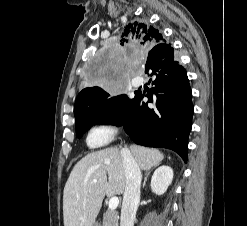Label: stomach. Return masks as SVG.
I'll list each match as a JSON object with an SVG mask.
<instances>
[{
  "mask_svg": "<svg viewBox=\"0 0 247 226\" xmlns=\"http://www.w3.org/2000/svg\"><path fill=\"white\" fill-rule=\"evenodd\" d=\"M93 226H99L98 224H94Z\"/></svg>",
  "mask_w": 247,
  "mask_h": 226,
  "instance_id": "0dacf381",
  "label": "stomach"
}]
</instances>
